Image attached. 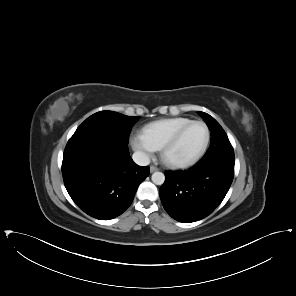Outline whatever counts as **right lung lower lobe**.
Segmentation results:
<instances>
[{
  "label": "right lung lower lobe",
  "mask_w": 296,
  "mask_h": 296,
  "mask_svg": "<svg viewBox=\"0 0 296 296\" xmlns=\"http://www.w3.org/2000/svg\"><path fill=\"white\" fill-rule=\"evenodd\" d=\"M127 144L116 139L87 135L71 137L63 154L65 187L77 206L99 220L122 214L132 203L149 167L138 166Z\"/></svg>",
  "instance_id": "right-lung-lower-lobe-1"
}]
</instances>
